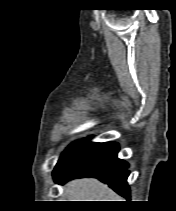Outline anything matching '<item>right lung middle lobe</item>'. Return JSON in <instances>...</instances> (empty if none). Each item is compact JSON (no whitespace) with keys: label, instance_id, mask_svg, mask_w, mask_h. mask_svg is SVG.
Masks as SVG:
<instances>
[{"label":"right lung middle lobe","instance_id":"obj_1","mask_svg":"<svg viewBox=\"0 0 176 211\" xmlns=\"http://www.w3.org/2000/svg\"><path fill=\"white\" fill-rule=\"evenodd\" d=\"M74 144H76V143H72V145H70L69 148H71ZM67 150H68V149H66V151H67ZM63 154H64V153H63ZM63 154H62V155H63Z\"/></svg>","mask_w":176,"mask_h":211}]
</instances>
